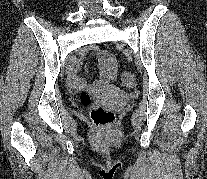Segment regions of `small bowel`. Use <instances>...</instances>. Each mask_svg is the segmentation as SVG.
<instances>
[{"label":"small bowel","instance_id":"obj_1","mask_svg":"<svg viewBox=\"0 0 207 179\" xmlns=\"http://www.w3.org/2000/svg\"><path fill=\"white\" fill-rule=\"evenodd\" d=\"M87 52L97 55L100 78L98 81L89 83L83 78H78L76 73L82 65V60L77 59L68 75V85L73 89H88L96 91L113 82L118 74L117 58L108 50L100 49L97 46L87 48Z\"/></svg>","mask_w":207,"mask_h":179}]
</instances>
